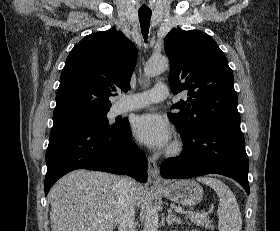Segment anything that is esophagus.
<instances>
[{"instance_id": "obj_1", "label": "esophagus", "mask_w": 280, "mask_h": 231, "mask_svg": "<svg viewBox=\"0 0 280 231\" xmlns=\"http://www.w3.org/2000/svg\"><path fill=\"white\" fill-rule=\"evenodd\" d=\"M148 172L150 178L160 180L158 164L151 156H148Z\"/></svg>"}]
</instances>
